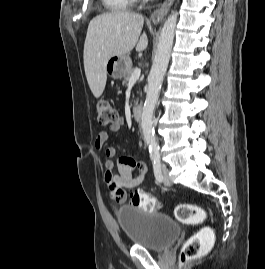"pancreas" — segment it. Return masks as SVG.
Returning a JSON list of instances; mask_svg holds the SVG:
<instances>
[{"label": "pancreas", "instance_id": "1", "mask_svg": "<svg viewBox=\"0 0 265 269\" xmlns=\"http://www.w3.org/2000/svg\"><path fill=\"white\" fill-rule=\"evenodd\" d=\"M133 73V70H130V72L124 77V84H127L130 80V77ZM138 103V101H135L134 104L136 105Z\"/></svg>", "mask_w": 265, "mask_h": 269}]
</instances>
